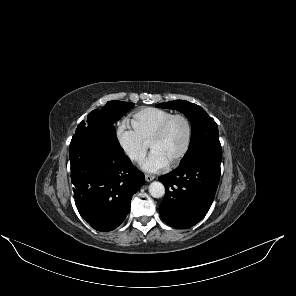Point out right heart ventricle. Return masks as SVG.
I'll use <instances>...</instances> for the list:
<instances>
[{"label": "right heart ventricle", "mask_w": 296, "mask_h": 296, "mask_svg": "<svg viewBox=\"0 0 296 296\" xmlns=\"http://www.w3.org/2000/svg\"><path fill=\"white\" fill-rule=\"evenodd\" d=\"M173 113L159 108H144L131 118V125L144 142L150 144L155 134Z\"/></svg>", "instance_id": "1"}]
</instances>
